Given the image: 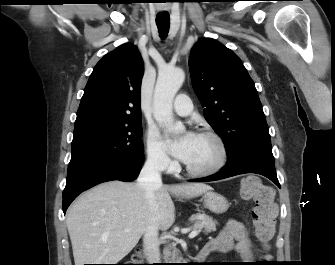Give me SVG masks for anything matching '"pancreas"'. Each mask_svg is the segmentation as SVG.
Here are the masks:
<instances>
[{
    "instance_id": "obj_1",
    "label": "pancreas",
    "mask_w": 335,
    "mask_h": 265,
    "mask_svg": "<svg viewBox=\"0 0 335 265\" xmlns=\"http://www.w3.org/2000/svg\"><path fill=\"white\" fill-rule=\"evenodd\" d=\"M189 220L191 222H195L193 226L194 230L201 231L204 229L205 233H210L216 230L217 222L205 213L194 214ZM164 259L175 262L182 260V257L179 256V251L175 248V246H168L164 249Z\"/></svg>"
}]
</instances>
